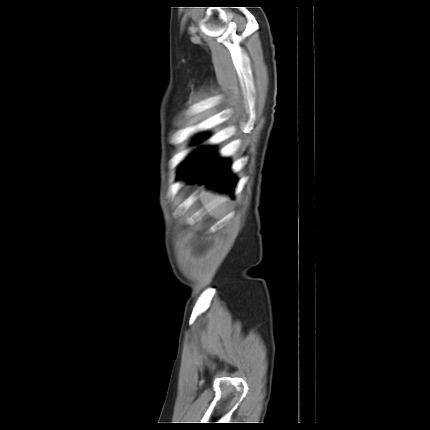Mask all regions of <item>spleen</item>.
Instances as JSON below:
<instances>
[{
    "instance_id": "3e777b00",
    "label": "spleen",
    "mask_w": 430,
    "mask_h": 430,
    "mask_svg": "<svg viewBox=\"0 0 430 430\" xmlns=\"http://www.w3.org/2000/svg\"><path fill=\"white\" fill-rule=\"evenodd\" d=\"M203 204L209 209L212 215L220 217L225 212V204H212L213 197L203 195L201 198Z\"/></svg>"
}]
</instances>
